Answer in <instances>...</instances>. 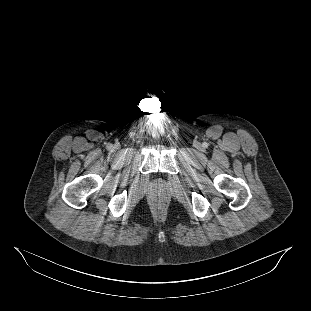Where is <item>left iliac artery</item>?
Segmentation results:
<instances>
[{"mask_svg": "<svg viewBox=\"0 0 311 311\" xmlns=\"http://www.w3.org/2000/svg\"><path fill=\"white\" fill-rule=\"evenodd\" d=\"M203 146H204V147H207V143H204Z\"/></svg>", "mask_w": 311, "mask_h": 311, "instance_id": "left-iliac-artery-1", "label": "left iliac artery"}]
</instances>
